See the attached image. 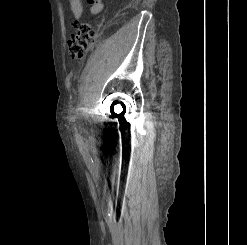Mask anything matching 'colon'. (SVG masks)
<instances>
[{
	"label": "colon",
	"instance_id": "obj_1",
	"mask_svg": "<svg viewBox=\"0 0 247 245\" xmlns=\"http://www.w3.org/2000/svg\"><path fill=\"white\" fill-rule=\"evenodd\" d=\"M97 34L94 23L82 22L68 39V55L71 59L79 60L85 57Z\"/></svg>",
	"mask_w": 247,
	"mask_h": 245
}]
</instances>
